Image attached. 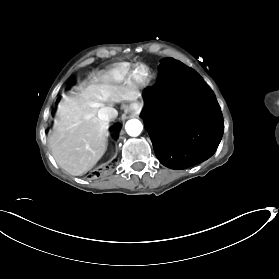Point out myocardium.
<instances>
[{"instance_id": "f54148a6", "label": "myocardium", "mask_w": 279, "mask_h": 279, "mask_svg": "<svg viewBox=\"0 0 279 279\" xmlns=\"http://www.w3.org/2000/svg\"><path fill=\"white\" fill-rule=\"evenodd\" d=\"M141 68L145 70L143 74L139 73V69ZM150 75L151 71L147 64L138 62L133 65V68L131 70V77L136 83L145 84L149 80Z\"/></svg>"}]
</instances>
